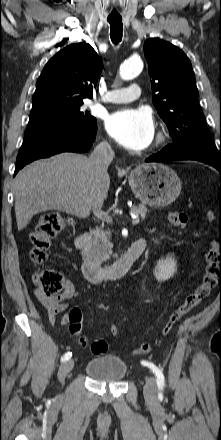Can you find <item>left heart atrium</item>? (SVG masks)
I'll list each match as a JSON object with an SVG mask.
<instances>
[{"label":"left heart atrium","instance_id":"left-heart-atrium-1","mask_svg":"<svg viewBox=\"0 0 221 440\" xmlns=\"http://www.w3.org/2000/svg\"><path fill=\"white\" fill-rule=\"evenodd\" d=\"M108 133L122 146L131 150L146 148L154 136L150 113L143 109H124L106 119Z\"/></svg>","mask_w":221,"mask_h":440}]
</instances>
